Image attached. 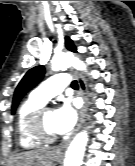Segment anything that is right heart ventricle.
Returning a JSON list of instances; mask_svg holds the SVG:
<instances>
[{
    "instance_id": "right-heart-ventricle-1",
    "label": "right heart ventricle",
    "mask_w": 135,
    "mask_h": 166,
    "mask_svg": "<svg viewBox=\"0 0 135 166\" xmlns=\"http://www.w3.org/2000/svg\"><path fill=\"white\" fill-rule=\"evenodd\" d=\"M44 104L45 103L30 95L25 101L20 104L17 110L15 133L19 145L24 149H33L41 145L38 140L34 139L29 134L26 123L29 115L35 110L44 106Z\"/></svg>"
}]
</instances>
